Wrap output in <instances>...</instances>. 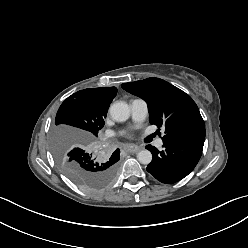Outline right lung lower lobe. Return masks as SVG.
<instances>
[{"mask_svg":"<svg viewBox=\"0 0 248 248\" xmlns=\"http://www.w3.org/2000/svg\"><path fill=\"white\" fill-rule=\"evenodd\" d=\"M113 154H114V156H117V157L120 158V155H119L120 154V151H119V149H117Z\"/></svg>","mask_w":248,"mask_h":248,"instance_id":"1","label":"right lung lower lobe"}]
</instances>
